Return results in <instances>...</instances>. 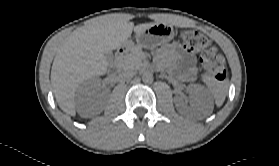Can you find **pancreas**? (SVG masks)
Listing matches in <instances>:
<instances>
[{
	"label": "pancreas",
	"mask_w": 279,
	"mask_h": 166,
	"mask_svg": "<svg viewBox=\"0 0 279 166\" xmlns=\"http://www.w3.org/2000/svg\"><path fill=\"white\" fill-rule=\"evenodd\" d=\"M142 57V49L136 46L131 50L130 53L120 58L119 67L121 69H140L143 65Z\"/></svg>",
	"instance_id": "1"
}]
</instances>
